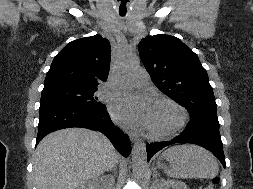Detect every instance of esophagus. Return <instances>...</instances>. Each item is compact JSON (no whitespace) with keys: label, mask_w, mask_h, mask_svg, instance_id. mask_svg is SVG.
<instances>
[{"label":"esophagus","mask_w":253,"mask_h":189,"mask_svg":"<svg viewBox=\"0 0 253 189\" xmlns=\"http://www.w3.org/2000/svg\"><path fill=\"white\" fill-rule=\"evenodd\" d=\"M129 138L131 142H136L139 139V136L136 133H129Z\"/></svg>","instance_id":"obj_1"}]
</instances>
